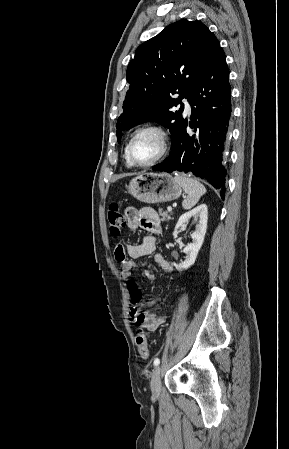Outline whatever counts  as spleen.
Returning <instances> with one entry per match:
<instances>
[{"label": "spleen", "mask_w": 289, "mask_h": 449, "mask_svg": "<svg viewBox=\"0 0 289 449\" xmlns=\"http://www.w3.org/2000/svg\"><path fill=\"white\" fill-rule=\"evenodd\" d=\"M175 182H177L187 194L186 198L182 202V207L185 210L191 209L194 207L202 195L206 193V188L203 184H201L196 179L191 177L178 174L174 178Z\"/></svg>", "instance_id": "3e777b00"}]
</instances>
